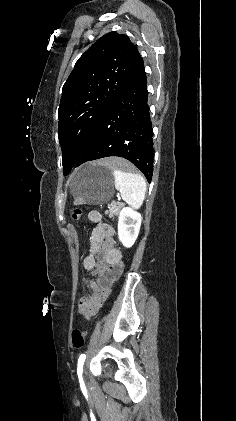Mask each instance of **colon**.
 Returning <instances> with one entry per match:
<instances>
[{"instance_id": "colon-1", "label": "colon", "mask_w": 236, "mask_h": 421, "mask_svg": "<svg viewBox=\"0 0 236 421\" xmlns=\"http://www.w3.org/2000/svg\"><path fill=\"white\" fill-rule=\"evenodd\" d=\"M83 214V208L76 206L71 209L70 216L73 220L78 221L81 219ZM86 331L82 329H74L71 333L72 346L76 349L81 348L86 340Z\"/></svg>"}]
</instances>
